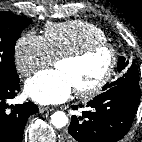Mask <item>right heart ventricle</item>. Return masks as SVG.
<instances>
[{"mask_svg": "<svg viewBox=\"0 0 142 142\" xmlns=\"http://www.w3.org/2000/svg\"><path fill=\"white\" fill-rule=\"evenodd\" d=\"M43 38L53 59L90 43L106 42L103 30L81 20L49 23L45 26Z\"/></svg>", "mask_w": 142, "mask_h": 142, "instance_id": "obj_1", "label": "right heart ventricle"}]
</instances>
